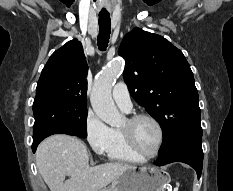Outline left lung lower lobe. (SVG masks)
I'll list each match as a JSON object with an SVG mask.
<instances>
[{"label": "left lung lower lobe", "mask_w": 233, "mask_h": 191, "mask_svg": "<svg viewBox=\"0 0 233 191\" xmlns=\"http://www.w3.org/2000/svg\"><path fill=\"white\" fill-rule=\"evenodd\" d=\"M160 156V160L155 165L163 166L172 162H183L196 170L199 179L203 166L202 135L183 137Z\"/></svg>", "instance_id": "1"}]
</instances>
